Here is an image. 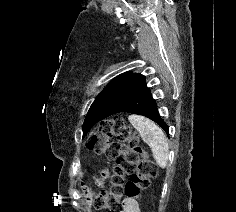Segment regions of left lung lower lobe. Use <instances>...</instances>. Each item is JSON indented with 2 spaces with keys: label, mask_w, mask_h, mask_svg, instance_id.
<instances>
[{
  "label": "left lung lower lobe",
  "mask_w": 236,
  "mask_h": 212,
  "mask_svg": "<svg viewBox=\"0 0 236 212\" xmlns=\"http://www.w3.org/2000/svg\"><path fill=\"white\" fill-rule=\"evenodd\" d=\"M122 112L145 116L158 123L169 135L168 126L159 115L156 100L147 87L145 76L140 73H133L125 82L120 92L102 112L99 121Z\"/></svg>",
  "instance_id": "1"
}]
</instances>
